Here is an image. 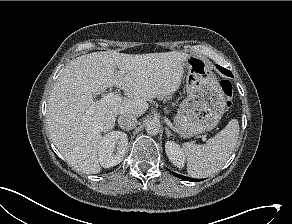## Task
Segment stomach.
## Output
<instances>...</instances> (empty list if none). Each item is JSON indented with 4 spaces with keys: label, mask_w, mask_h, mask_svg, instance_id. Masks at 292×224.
Listing matches in <instances>:
<instances>
[{
    "label": "stomach",
    "mask_w": 292,
    "mask_h": 224,
    "mask_svg": "<svg viewBox=\"0 0 292 224\" xmlns=\"http://www.w3.org/2000/svg\"><path fill=\"white\" fill-rule=\"evenodd\" d=\"M183 68L187 71V98L181 103L174 122L179 134L189 138L210 131L219 123L225 109V96L206 58L187 55Z\"/></svg>",
    "instance_id": "stomach-1"
}]
</instances>
